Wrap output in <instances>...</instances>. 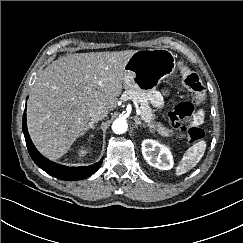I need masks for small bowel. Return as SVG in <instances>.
<instances>
[{
    "label": "small bowel",
    "mask_w": 243,
    "mask_h": 243,
    "mask_svg": "<svg viewBox=\"0 0 243 243\" xmlns=\"http://www.w3.org/2000/svg\"><path fill=\"white\" fill-rule=\"evenodd\" d=\"M150 99H151V101H152L153 103H155V104H160V103H161V97H160V95L157 94V93H153V94L150 96ZM203 116H204L203 112L200 111V112L198 113V115L196 116L195 120H194V124H195V125L200 124V123L202 122V120H203ZM159 131H160L161 133H163V134H166V135H169V134H170V131L167 130L166 128H164V127H159Z\"/></svg>",
    "instance_id": "1"
}]
</instances>
